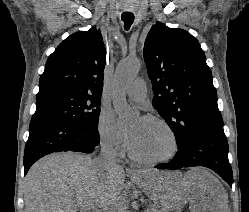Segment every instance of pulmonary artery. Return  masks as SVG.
Instances as JSON below:
<instances>
[{
	"instance_id": "pulmonary-artery-1",
	"label": "pulmonary artery",
	"mask_w": 249,
	"mask_h": 212,
	"mask_svg": "<svg viewBox=\"0 0 249 212\" xmlns=\"http://www.w3.org/2000/svg\"><path fill=\"white\" fill-rule=\"evenodd\" d=\"M127 96L136 102H141L146 98L147 84L142 78L136 79L128 88Z\"/></svg>"
}]
</instances>
